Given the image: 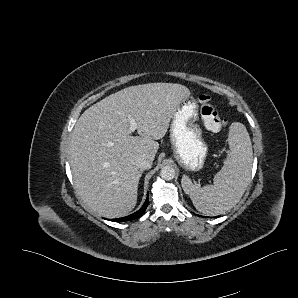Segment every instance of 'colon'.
Wrapping results in <instances>:
<instances>
[{"instance_id":"5ec220e1","label":"colon","mask_w":298,"mask_h":298,"mask_svg":"<svg viewBox=\"0 0 298 298\" xmlns=\"http://www.w3.org/2000/svg\"><path fill=\"white\" fill-rule=\"evenodd\" d=\"M200 104V116L204 126L212 131L217 132L226 126V120L220 116L213 105L211 97L207 94H201L198 97Z\"/></svg>"}]
</instances>
